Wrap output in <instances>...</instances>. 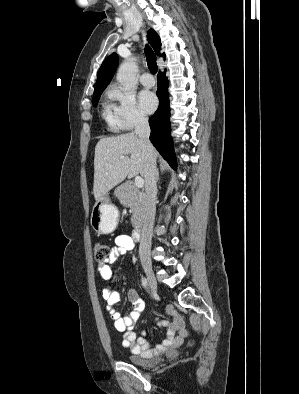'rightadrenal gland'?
<instances>
[{
  "label": "right adrenal gland",
  "mask_w": 299,
  "mask_h": 394,
  "mask_svg": "<svg viewBox=\"0 0 299 394\" xmlns=\"http://www.w3.org/2000/svg\"><path fill=\"white\" fill-rule=\"evenodd\" d=\"M159 181V170L157 169L156 170V182H158Z\"/></svg>",
  "instance_id": "right-adrenal-gland-1"
}]
</instances>
